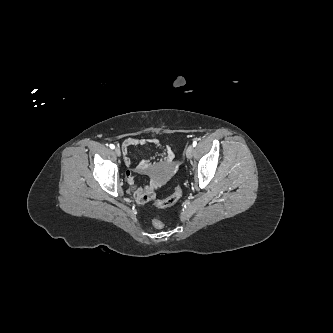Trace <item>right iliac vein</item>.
Returning <instances> with one entry per match:
<instances>
[{
  "instance_id": "1",
  "label": "right iliac vein",
  "mask_w": 333,
  "mask_h": 333,
  "mask_svg": "<svg viewBox=\"0 0 333 333\" xmlns=\"http://www.w3.org/2000/svg\"><path fill=\"white\" fill-rule=\"evenodd\" d=\"M114 152L117 156H121V150L118 147L115 148Z\"/></svg>"
}]
</instances>
